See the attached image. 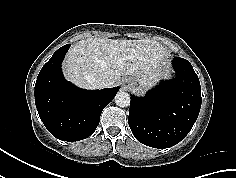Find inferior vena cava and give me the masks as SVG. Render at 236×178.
Wrapping results in <instances>:
<instances>
[{"instance_id": "602c4592", "label": "inferior vena cava", "mask_w": 236, "mask_h": 178, "mask_svg": "<svg viewBox=\"0 0 236 178\" xmlns=\"http://www.w3.org/2000/svg\"><path fill=\"white\" fill-rule=\"evenodd\" d=\"M89 81L92 82L96 88H106L109 85V80L105 77L90 78Z\"/></svg>"}]
</instances>
